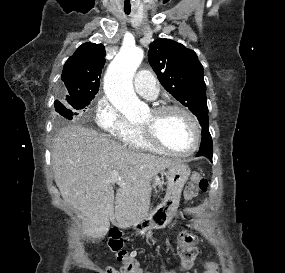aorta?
I'll list each match as a JSON object with an SVG mask.
<instances>
[{
  "mask_svg": "<svg viewBox=\"0 0 285 273\" xmlns=\"http://www.w3.org/2000/svg\"><path fill=\"white\" fill-rule=\"evenodd\" d=\"M144 52L140 47H122L107 68L104 91L110 103L128 119H135L147 112L133 90V76L141 64Z\"/></svg>",
  "mask_w": 285,
  "mask_h": 273,
  "instance_id": "aorta-1",
  "label": "aorta"
}]
</instances>
